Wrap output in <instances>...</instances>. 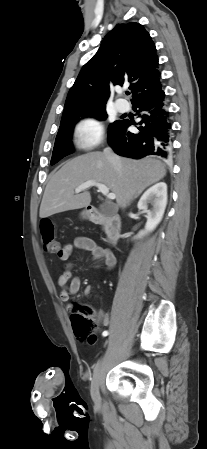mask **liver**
Masks as SVG:
<instances>
[{
	"instance_id": "6515ba94",
	"label": "liver",
	"mask_w": 207,
	"mask_h": 449,
	"mask_svg": "<svg viewBox=\"0 0 207 449\" xmlns=\"http://www.w3.org/2000/svg\"><path fill=\"white\" fill-rule=\"evenodd\" d=\"M120 175L104 153L90 152L67 161L47 184L40 205V218L88 206L91 195L87 190H74L87 181L105 184L116 195L119 207H125L147 187L166 175L164 164L147 157L141 160L120 158Z\"/></svg>"
}]
</instances>
